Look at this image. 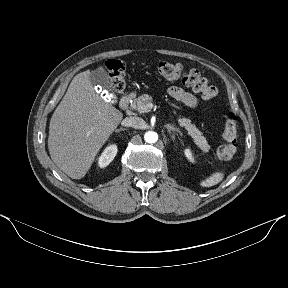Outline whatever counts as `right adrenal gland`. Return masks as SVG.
<instances>
[{
  "label": "right adrenal gland",
  "instance_id": "obj_1",
  "mask_svg": "<svg viewBox=\"0 0 288 288\" xmlns=\"http://www.w3.org/2000/svg\"><path fill=\"white\" fill-rule=\"evenodd\" d=\"M126 129H124V128H120V129H117V130H115V132H120V131H125Z\"/></svg>",
  "mask_w": 288,
  "mask_h": 288
}]
</instances>
